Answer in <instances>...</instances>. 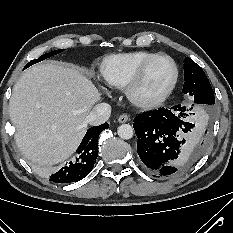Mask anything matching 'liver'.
<instances>
[{
  "label": "liver",
  "mask_w": 233,
  "mask_h": 233,
  "mask_svg": "<svg viewBox=\"0 0 233 233\" xmlns=\"http://www.w3.org/2000/svg\"><path fill=\"white\" fill-rule=\"evenodd\" d=\"M101 94L82 69L57 62L30 67L13 87L9 115L15 140L39 166L66 160L79 146Z\"/></svg>",
  "instance_id": "1"
}]
</instances>
